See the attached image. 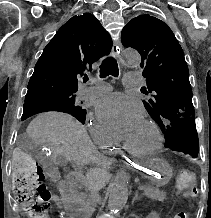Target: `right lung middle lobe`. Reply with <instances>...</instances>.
Returning a JSON list of instances; mask_svg holds the SVG:
<instances>
[{
  "label": "right lung middle lobe",
  "mask_w": 211,
  "mask_h": 218,
  "mask_svg": "<svg viewBox=\"0 0 211 218\" xmlns=\"http://www.w3.org/2000/svg\"><path fill=\"white\" fill-rule=\"evenodd\" d=\"M76 92V91H75ZM75 92L50 95L28 101L24 103L22 120L28 117L46 111H60L69 113L80 122H85L86 110L80 106V102L76 100Z\"/></svg>",
  "instance_id": "dd1d6c3e"
}]
</instances>
